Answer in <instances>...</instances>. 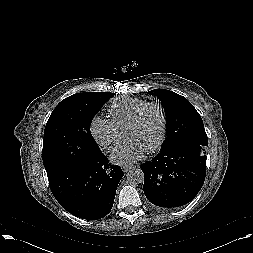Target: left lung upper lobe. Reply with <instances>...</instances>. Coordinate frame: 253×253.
I'll return each mask as SVG.
<instances>
[{
	"mask_svg": "<svg viewBox=\"0 0 253 253\" xmlns=\"http://www.w3.org/2000/svg\"><path fill=\"white\" fill-rule=\"evenodd\" d=\"M147 94L156 96L165 111L167 136L161 149L187 142L208 146L202 118L185 97L166 89H154Z\"/></svg>",
	"mask_w": 253,
	"mask_h": 253,
	"instance_id": "left-lung-upper-lobe-1",
	"label": "left lung upper lobe"
}]
</instances>
